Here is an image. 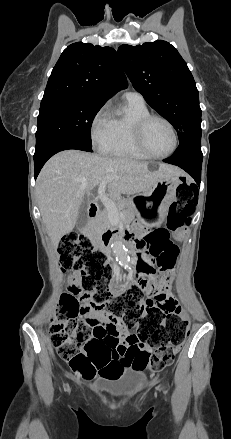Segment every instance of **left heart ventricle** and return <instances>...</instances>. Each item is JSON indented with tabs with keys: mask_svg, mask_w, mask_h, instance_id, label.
Segmentation results:
<instances>
[{
	"mask_svg": "<svg viewBox=\"0 0 231 439\" xmlns=\"http://www.w3.org/2000/svg\"><path fill=\"white\" fill-rule=\"evenodd\" d=\"M145 141L150 151L156 155L168 153L174 143L170 128L160 120H153L148 125Z\"/></svg>",
	"mask_w": 231,
	"mask_h": 439,
	"instance_id": "left-heart-ventricle-1",
	"label": "left heart ventricle"
}]
</instances>
